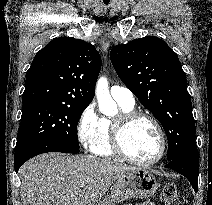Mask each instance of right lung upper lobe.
<instances>
[{"label":"right lung upper lobe","instance_id":"cb5924a9","mask_svg":"<svg viewBox=\"0 0 212 205\" xmlns=\"http://www.w3.org/2000/svg\"><path fill=\"white\" fill-rule=\"evenodd\" d=\"M100 69L101 57L93 45L72 37L56 38L35 55L22 102L89 105Z\"/></svg>","mask_w":212,"mask_h":205}]
</instances>
